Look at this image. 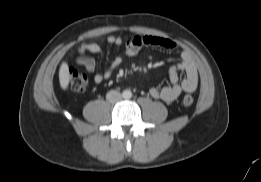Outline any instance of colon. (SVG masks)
Here are the masks:
<instances>
[{
  "label": "colon",
  "mask_w": 261,
  "mask_h": 182,
  "mask_svg": "<svg viewBox=\"0 0 261 182\" xmlns=\"http://www.w3.org/2000/svg\"><path fill=\"white\" fill-rule=\"evenodd\" d=\"M69 88L75 92H85L89 87V78L86 74L80 73L73 69H69ZM194 102V98L191 95H185L183 97V104L190 106Z\"/></svg>",
  "instance_id": "5ec220e1"
}]
</instances>
